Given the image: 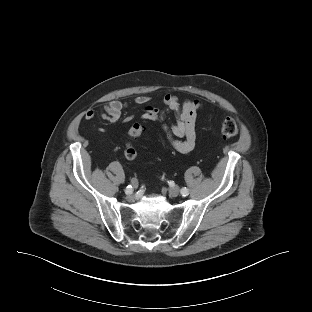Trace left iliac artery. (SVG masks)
Segmentation results:
<instances>
[{"label":"left iliac artery","instance_id":"left-iliac-artery-1","mask_svg":"<svg viewBox=\"0 0 312 312\" xmlns=\"http://www.w3.org/2000/svg\"><path fill=\"white\" fill-rule=\"evenodd\" d=\"M181 194H182L183 196H187V195L189 194L188 189H187L186 187L182 188V189H181Z\"/></svg>","mask_w":312,"mask_h":312}]
</instances>
